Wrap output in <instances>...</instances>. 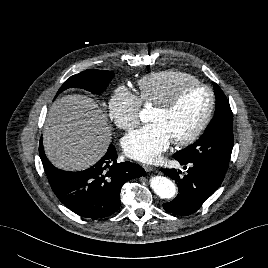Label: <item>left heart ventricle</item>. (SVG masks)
Returning a JSON list of instances; mask_svg holds the SVG:
<instances>
[{"instance_id": "obj_1", "label": "left heart ventricle", "mask_w": 268, "mask_h": 268, "mask_svg": "<svg viewBox=\"0 0 268 268\" xmlns=\"http://www.w3.org/2000/svg\"><path fill=\"white\" fill-rule=\"evenodd\" d=\"M209 102L206 89L194 87L183 93L177 105L163 113L156 108L150 114V121L161 124L171 140L189 135L202 119Z\"/></svg>"}]
</instances>
